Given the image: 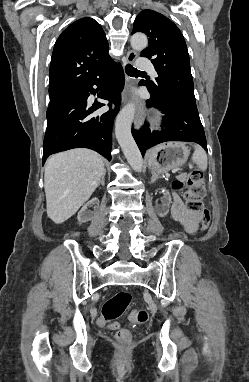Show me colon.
<instances>
[{
	"label": "colon",
	"instance_id": "5ec220e1",
	"mask_svg": "<svg viewBox=\"0 0 249 382\" xmlns=\"http://www.w3.org/2000/svg\"><path fill=\"white\" fill-rule=\"evenodd\" d=\"M188 189L184 193L186 208L190 212L199 213L202 215V228L206 229L210 223V211L203 204L205 195V184L202 172L194 169L190 172L187 180ZM183 187V182L175 181L174 189ZM131 302V294L127 291H120L107 299L101 311L99 324L102 326H110L112 329H119L120 323L116 322L127 309ZM130 318L133 322L143 324L148 321L149 315L145 310H135L131 313ZM116 339L124 345H130L132 341L131 332L127 329H119L116 332Z\"/></svg>",
	"mask_w": 249,
	"mask_h": 382
}]
</instances>
